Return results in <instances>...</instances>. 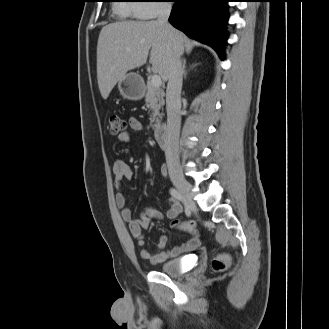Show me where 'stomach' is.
<instances>
[{"label": "stomach", "mask_w": 329, "mask_h": 329, "mask_svg": "<svg viewBox=\"0 0 329 329\" xmlns=\"http://www.w3.org/2000/svg\"><path fill=\"white\" fill-rule=\"evenodd\" d=\"M118 88L124 98L133 101L142 99L145 94L144 81L137 73L127 74L124 79L118 83Z\"/></svg>", "instance_id": "obj_1"}]
</instances>
